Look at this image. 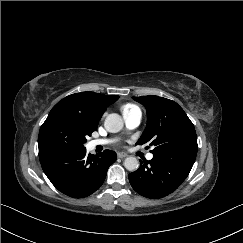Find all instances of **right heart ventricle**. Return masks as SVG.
Masks as SVG:
<instances>
[{"label": "right heart ventricle", "mask_w": 243, "mask_h": 243, "mask_svg": "<svg viewBox=\"0 0 243 243\" xmlns=\"http://www.w3.org/2000/svg\"><path fill=\"white\" fill-rule=\"evenodd\" d=\"M134 108H137V106L134 105V104H126V105H124V106L122 107V112H123V114H124L125 112H128V111H130V110H132V109H134Z\"/></svg>", "instance_id": "obj_1"}]
</instances>
